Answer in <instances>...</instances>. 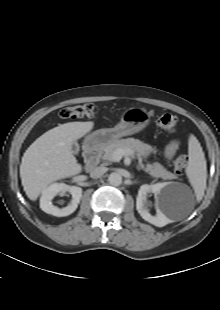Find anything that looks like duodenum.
<instances>
[{"mask_svg": "<svg viewBox=\"0 0 220 310\" xmlns=\"http://www.w3.org/2000/svg\"><path fill=\"white\" fill-rule=\"evenodd\" d=\"M101 157V147L94 145L89 147L85 152V170L91 172L96 168Z\"/></svg>", "mask_w": 220, "mask_h": 310, "instance_id": "duodenum-1", "label": "duodenum"}]
</instances>
